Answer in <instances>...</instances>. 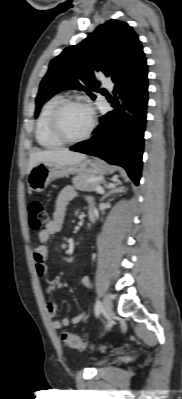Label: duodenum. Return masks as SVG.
Instances as JSON below:
<instances>
[{
	"instance_id": "duodenum-1",
	"label": "duodenum",
	"mask_w": 182,
	"mask_h": 399,
	"mask_svg": "<svg viewBox=\"0 0 182 399\" xmlns=\"http://www.w3.org/2000/svg\"><path fill=\"white\" fill-rule=\"evenodd\" d=\"M88 219L91 223L95 222L96 220V213L94 209H90L88 212Z\"/></svg>"
}]
</instances>
